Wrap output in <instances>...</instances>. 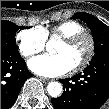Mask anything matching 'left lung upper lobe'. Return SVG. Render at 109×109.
Returning a JSON list of instances; mask_svg holds the SVG:
<instances>
[{
  "instance_id": "1",
  "label": "left lung upper lobe",
  "mask_w": 109,
  "mask_h": 109,
  "mask_svg": "<svg viewBox=\"0 0 109 109\" xmlns=\"http://www.w3.org/2000/svg\"><path fill=\"white\" fill-rule=\"evenodd\" d=\"M72 19H81L90 27L95 45L94 57L109 53V27L106 24L95 16L84 12L76 13ZM80 95L79 88L74 87L69 90L67 97L70 101H76L80 99Z\"/></svg>"
}]
</instances>
